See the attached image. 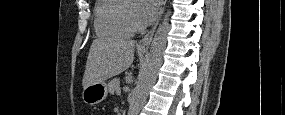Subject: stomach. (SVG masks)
Wrapping results in <instances>:
<instances>
[{"label": "stomach", "mask_w": 285, "mask_h": 115, "mask_svg": "<svg viewBox=\"0 0 285 115\" xmlns=\"http://www.w3.org/2000/svg\"><path fill=\"white\" fill-rule=\"evenodd\" d=\"M107 93V84L105 82H97L83 89L82 99L88 105H96L105 100Z\"/></svg>", "instance_id": "obj_1"}]
</instances>
